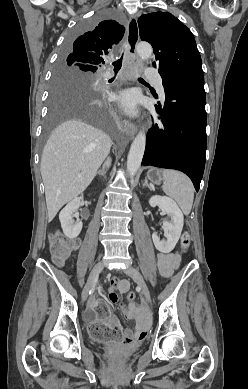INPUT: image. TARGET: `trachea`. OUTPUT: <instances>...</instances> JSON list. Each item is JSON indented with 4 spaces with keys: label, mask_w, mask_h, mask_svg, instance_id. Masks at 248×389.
I'll return each mask as SVG.
<instances>
[{
    "label": "trachea",
    "mask_w": 248,
    "mask_h": 389,
    "mask_svg": "<svg viewBox=\"0 0 248 389\" xmlns=\"http://www.w3.org/2000/svg\"><path fill=\"white\" fill-rule=\"evenodd\" d=\"M122 60H123V56H122L120 59H118L117 61L113 62L114 71H115L116 73L121 69ZM139 80L144 81L142 78H139Z\"/></svg>",
    "instance_id": "obj_1"
}]
</instances>
